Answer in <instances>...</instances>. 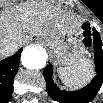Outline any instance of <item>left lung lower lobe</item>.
I'll use <instances>...</instances> for the list:
<instances>
[{
  "label": "left lung lower lobe",
  "mask_w": 103,
  "mask_h": 103,
  "mask_svg": "<svg viewBox=\"0 0 103 103\" xmlns=\"http://www.w3.org/2000/svg\"><path fill=\"white\" fill-rule=\"evenodd\" d=\"M94 36V60L97 75L91 83L78 91H61L52 79V66H46L44 77L49 95L60 103H88L93 100L103 83V50L100 36L93 28Z\"/></svg>",
  "instance_id": "left-lung-lower-lobe-1"
}]
</instances>
